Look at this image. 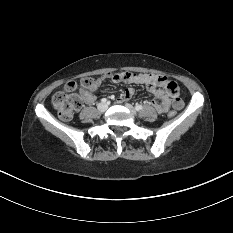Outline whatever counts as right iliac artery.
<instances>
[{"mask_svg": "<svg viewBox=\"0 0 233 233\" xmlns=\"http://www.w3.org/2000/svg\"><path fill=\"white\" fill-rule=\"evenodd\" d=\"M101 102H102V103H106V102H107V99H106V98H103V99H101Z\"/></svg>", "mask_w": 233, "mask_h": 233, "instance_id": "right-iliac-artery-1", "label": "right iliac artery"}]
</instances>
